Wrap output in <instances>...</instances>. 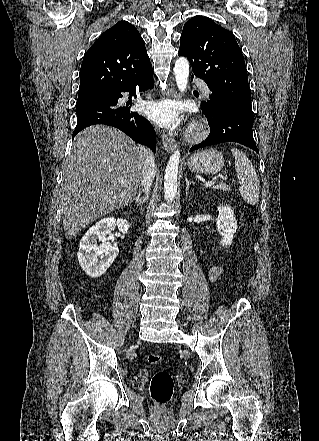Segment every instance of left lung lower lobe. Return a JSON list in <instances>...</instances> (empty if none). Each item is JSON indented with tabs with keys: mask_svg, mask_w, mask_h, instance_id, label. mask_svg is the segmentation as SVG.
Returning <instances> with one entry per match:
<instances>
[{
	"mask_svg": "<svg viewBox=\"0 0 319 441\" xmlns=\"http://www.w3.org/2000/svg\"><path fill=\"white\" fill-rule=\"evenodd\" d=\"M201 109L210 125V134L205 141L192 146L190 152L224 142H236L259 153L252 132L253 115L222 101H212L210 106L201 102Z\"/></svg>",
	"mask_w": 319,
	"mask_h": 441,
	"instance_id": "1",
	"label": "left lung lower lobe"
}]
</instances>
